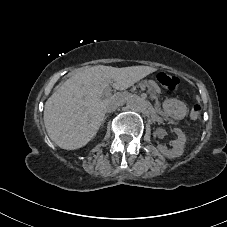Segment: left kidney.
I'll use <instances>...</instances> for the list:
<instances>
[{
	"label": "left kidney",
	"mask_w": 227,
	"mask_h": 227,
	"mask_svg": "<svg viewBox=\"0 0 227 227\" xmlns=\"http://www.w3.org/2000/svg\"><path fill=\"white\" fill-rule=\"evenodd\" d=\"M171 132L177 136V140L173 144V149H168L161 145H159L157 148L160 151V153H162L165 157L169 159H174L183 154L184 147H185L184 145L185 136L179 128H174L171 130Z\"/></svg>",
	"instance_id": "1"
}]
</instances>
